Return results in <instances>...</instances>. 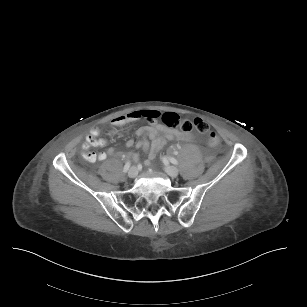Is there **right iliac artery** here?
<instances>
[{
  "label": "right iliac artery",
  "mask_w": 307,
  "mask_h": 307,
  "mask_svg": "<svg viewBox=\"0 0 307 307\" xmlns=\"http://www.w3.org/2000/svg\"><path fill=\"white\" fill-rule=\"evenodd\" d=\"M130 165H131V163H130V162H127V163L125 164L124 168H123V172H127V171L129 170V168H130Z\"/></svg>",
  "instance_id": "82829eb1"
}]
</instances>
